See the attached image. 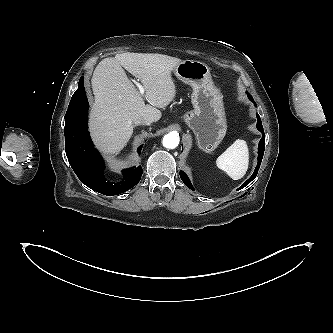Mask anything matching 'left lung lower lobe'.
I'll return each instance as SVG.
<instances>
[{
	"label": "left lung lower lobe",
	"mask_w": 333,
	"mask_h": 333,
	"mask_svg": "<svg viewBox=\"0 0 333 333\" xmlns=\"http://www.w3.org/2000/svg\"><path fill=\"white\" fill-rule=\"evenodd\" d=\"M249 98H250L251 101H253V98L250 95H249ZM257 119H258L257 128L263 134L262 139L259 142V147H258V155H259L258 164H257V167L255 168V171H254L253 175L240 188H243L244 186L249 184L256 177L257 172H258V168L260 167V164H261V161H262V158H263V154H264L265 136H264V131H263V127H262V123H261L259 115H257ZM180 177H181L182 181L184 182V184L186 186H188L190 189L194 190L189 178L187 177V175L183 171H180Z\"/></svg>",
	"instance_id": "1"
}]
</instances>
